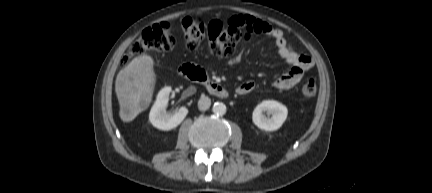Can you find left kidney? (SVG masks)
<instances>
[{"mask_svg":"<svg viewBox=\"0 0 432 193\" xmlns=\"http://www.w3.org/2000/svg\"><path fill=\"white\" fill-rule=\"evenodd\" d=\"M263 112L271 117H266ZM287 115L288 110L285 105L275 100H265L255 107L252 121L261 130L275 131L282 126Z\"/></svg>","mask_w":432,"mask_h":193,"instance_id":"left-kidney-1","label":"left kidney"}]
</instances>
